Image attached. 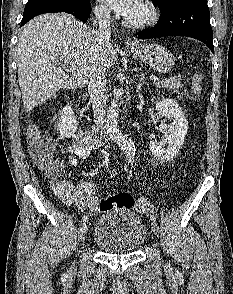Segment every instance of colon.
<instances>
[{
  "label": "colon",
  "mask_w": 233,
  "mask_h": 294,
  "mask_svg": "<svg viewBox=\"0 0 233 294\" xmlns=\"http://www.w3.org/2000/svg\"><path fill=\"white\" fill-rule=\"evenodd\" d=\"M201 75L195 73L191 76V91L198 95L201 92ZM28 146L32 157L40 166L54 179H57L62 172L58 162L52 159V145L42 136L38 126H31L28 129ZM91 208L99 211H106L113 208L135 209L139 213H145L152 209L148 199L142 198L137 202L129 193H119L106 199H97L91 201Z\"/></svg>",
  "instance_id": "1"
}]
</instances>
